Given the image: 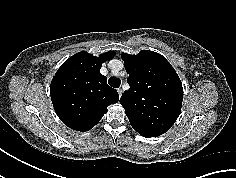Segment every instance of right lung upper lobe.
<instances>
[{"instance_id": "cb5924a9", "label": "right lung upper lobe", "mask_w": 236, "mask_h": 178, "mask_svg": "<svg viewBox=\"0 0 236 178\" xmlns=\"http://www.w3.org/2000/svg\"><path fill=\"white\" fill-rule=\"evenodd\" d=\"M114 55V51H109L96 57L82 51L56 72L50 85L51 100L56 114L69 128L90 130L107 107L118 102L117 91L107 85V78L100 73L102 63Z\"/></svg>"}]
</instances>
